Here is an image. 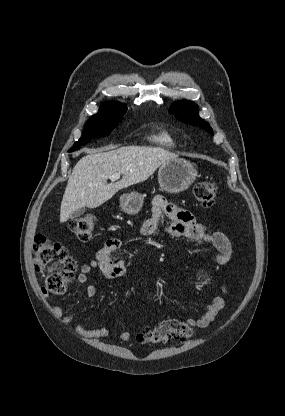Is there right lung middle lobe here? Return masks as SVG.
<instances>
[{"mask_svg": "<svg viewBox=\"0 0 285 416\" xmlns=\"http://www.w3.org/2000/svg\"><path fill=\"white\" fill-rule=\"evenodd\" d=\"M127 109L122 110H99L85 125L81 138L70 148L68 152L79 149L80 146L90 142L93 138L108 136L123 119Z\"/></svg>", "mask_w": 285, "mask_h": 416, "instance_id": "dd1d6c3e", "label": "right lung middle lobe"}]
</instances>
